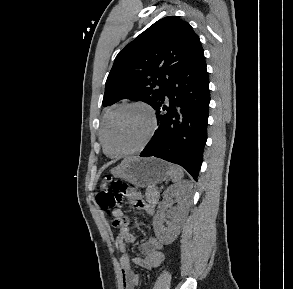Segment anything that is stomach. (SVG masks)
<instances>
[{"label":"stomach","instance_id":"0dacf381","mask_svg":"<svg viewBox=\"0 0 293 289\" xmlns=\"http://www.w3.org/2000/svg\"><path fill=\"white\" fill-rule=\"evenodd\" d=\"M111 173L137 187L153 186L169 176V164L158 158L129 157Z\"/></svg>","mask_w":293,"mask_h":289}]
</instances>
